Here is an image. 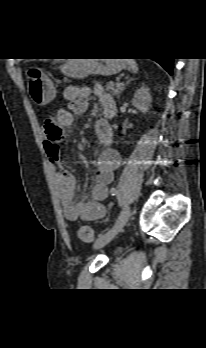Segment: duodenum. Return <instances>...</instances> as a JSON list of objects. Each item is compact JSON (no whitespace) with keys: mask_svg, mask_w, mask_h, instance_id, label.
Returning <instances> with one entry per match:
<instances>
[{"mask_svg":"<svg viewBox=\"0 0 206 348\" xmlns=\"http://www.w3.org/2000/svg\"><path fill=\"white\" fill-rule=\"evenodd\" d=\"M104 111H105V115H106L107 118L112 117V116L114 115V113H115V104H114L113 107H107V108H105ZM100 135H101V137L104 138V139H108V138H109V135H108L105 131H102V132L100 133Z\"/></svg>","mask_w":206,"mask_h":348,"instance_id":"410a0bca","label":"duodenum"}]
</instances>
